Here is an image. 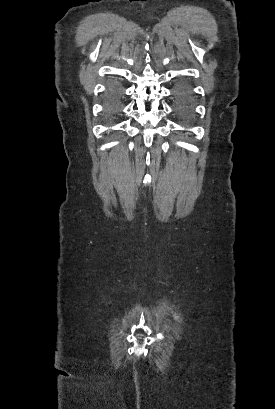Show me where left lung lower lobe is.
<instances>
[{
    "instance_id": "left-lung-lower-lobe-1",
    "label": "left lung lower lobe",
    "mask_w": 275,
    "mask_h": 409,
    "mask_svg": "<svg viewBox=\"0 0 275 409\" xmlns=\"http://www.w3.org/2000/svg\"><path fill=\"white\" fill-rule=\"evenodd\" d=\"M174 97V109L178 117L187 119L189 117V104L190 97L189 88L186 83L179 82L173 89Z\"/></svg>"
}]
</instances>
